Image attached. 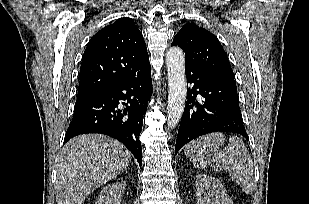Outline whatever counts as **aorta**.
I'll use <instances>...</instances> for the list:
<instances>
[{"label": "aorta", "mask_w": 309, "mask_h": 204, "mask_svg": "<svg viewBox=\"0 0 309 204\" xmlns=\"http://www.w3.org/2000/svg\"><path fill=\"white\" fill-rule=\"evenodd\" d=\"M168 72V126L172 129L180 121L185 108L187 83L185 76V55L179 47H173L166 54Z\"/></svg>", "instance_id": "1"}]
</instances>
